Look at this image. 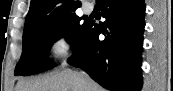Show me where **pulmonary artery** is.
I'll return each mask as SVG.
<instances>
[{
    "label": "pulmonary artery",
    "instance_id": "obj_1",
    "mask_svg": "<svg viewBox=\"0 0 173 91\" xmlns=\"http://www.w3.org/2000/svg\"><path fill=\"white\" fill-rule=\"evenodd\" d=\"M92 11V7H84L85 13H90Z\"/></svg>",
    "mask_w": 173,
    "mask_h": 91
}]
</instances>
